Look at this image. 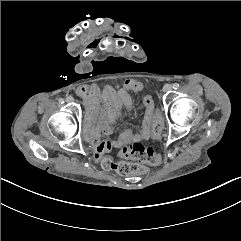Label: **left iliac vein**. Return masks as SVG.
Instances as JSON below:
<instances>
[{
  "instance_id": "1",
  "label": "left iliac vein",
  "mask_w": 241,
  "mask_h": 241,
  "mask_svg": "<svg viewBox=\"0 0 241 241\" xmlns=\"http://www.w3.org/2000/svg\"><path fill=\"white\" fill-rule=\"evenodd\" d=\"M172 89V86L170 84H165L163 87L164 92H169Z\"/></svg>"
}]
</instances>
